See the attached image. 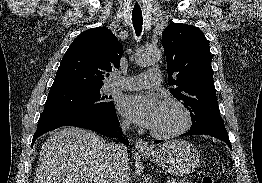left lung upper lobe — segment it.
<instances>
[{
  "label": "left lung upper lobe",
  "instance_id": "1",
  "mask_svg": "<svg viewBox=\"0 0 262 183\" xmlns=\"http://www.w3.org/2000/svg\"><path fill=\"white\" fill-rule=\"evenodd\" d=\"M171 94L190 111L192 126L224 124L213 81L212 55L203 32L192 25L171 23L162 34Z\"/></svg>",
  "mask_w": 262,
  "mask_h": 183
}]
</instances>
